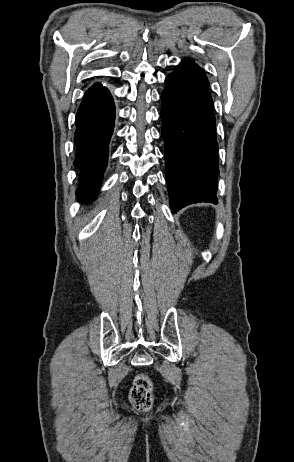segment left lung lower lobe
<instances>
[{
	"label": "left lung lower lobe",
	"instance_id": "0a47b994",
	"mask_svg": "<svg viewBox=\"0 0 294 462\" xmlns=\"http://www.w3.org/2000/svg\"><path fill=\"white\" fill-rule=\"evenodd\" d=\"M165 84L160 115L171 209L216 204L218 144L206 74L195 62L183 60Z\"/></svg>",
	"mask_w": 294,
	"mask_h": 462
}]
</instances>
